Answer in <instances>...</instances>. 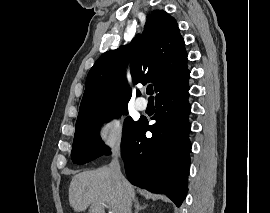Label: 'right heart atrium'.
<instances>
[{
	"label": "right heart atrium",
	"instance_id": "1",
	"mask_svg": "<svg viewBox=\"0 0 270 213\" xmlns=\"http://www.w3.org/2000/svg\"><path fill=\"white\" fill-rule=\"evenodd\" d=\"M96 137L98 143L110 151L120 150L123 143V125L119 116H106L100 122Z\"/></svg>",
	"mask_w": 270,
	"mask_h": 213
}]
</instances>
